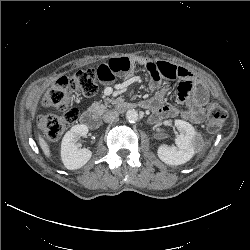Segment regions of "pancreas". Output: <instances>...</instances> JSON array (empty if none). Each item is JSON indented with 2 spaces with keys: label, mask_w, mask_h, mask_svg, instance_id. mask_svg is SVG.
<instances>
[{
  "label": "pancreas",
  "mask_w": 250,
  "mask_h": 250,
  "mask_svg": "<svg viewBox=\"0 0 250 250\" xmlns=\"http://www.w3.org/2000/svg\"><path fill=\"white\" fill-rule=\"evenodd\" d=\"M109 104L114 105L115 101L109 98L106 99L105 104H101L100 102H95L92 104V109L99 114H102L106 111L107 107H111Z\"/></svg>",
  "instance_id": "1"
}]
</instances>
